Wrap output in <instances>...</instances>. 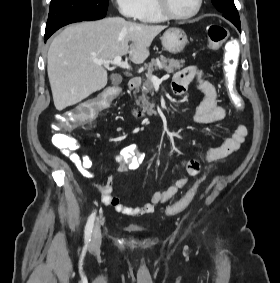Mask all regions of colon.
Here are the masks:
<instances>
[{
  "instance_id": "obj_1",
  "label": "colon",
  "mask_w": 280,
  "mask_h": 283,
  "mask_svg": "<svg viewBox=\"0 0 280 283\" xmlns=\"http://www.w3.org/2000/svg\"><path fill=\"white\" fill-rule=\"evenodd\" d=\"M207 35L209 48L217 49L227 39L228 30L222 25L213 24L207 28ZM238 55H241V50H238L236 41H227L223 58L224 83L235 107L242 109L244 103L236 88ZM121 91V87H104V93L98 98L75 107V110H63V114H55V119H61V122L52 124L55 130L52 137L54 145L63 151L74 149L78 140L63 132H76V127H81V124H92V120L99 119L98 112H104L103 106ZM196 192V186L189 189L178 202L167 209V215L174 216L184 211L192 202Z\"/></svg>"
}]
</instances>
